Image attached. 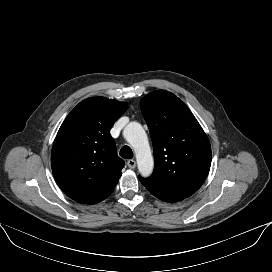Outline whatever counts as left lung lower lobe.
Returning <instances> with one entry per match:
<instances>
[{
    "mask_svg": "<svg viewBox=\"0 0 272 272\" xmlns=\"http://www.w3.org/2000/svg\"><path fill=\"white\" fill-rule=\"evenodd\" d=\"M158 198V197H157ZM160 199V198H159ZM163 201H166V202H170V203H174L175 201H168V200H164V199H161Z\"/></svg>",
    "mask_w": 272,
    "mask_h": 272,
    "instance_id": "1",
    "label": "left lung lower lobe"
}]
</instances>
